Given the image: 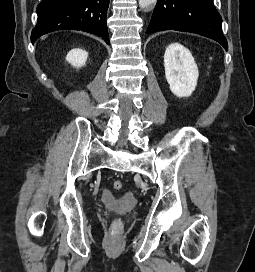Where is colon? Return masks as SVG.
<instances>
[{
    "instance_id": "5ec220e1",
    "label": "colon",
    "mask_w": 255,
    "mask_h": 272,
    "mask_svg": "<svg viewBox=\"0 0 255 272\" xmlns=\"http://www.w3.org/2000/svg\"><path fill=\"white\" fill-rule=\"evenodd\" d=\"M122 187H123L122 181L115 180L113 182V188L115 190H120ZM121 225H122V223H121V221L119 219H114L113 222H112V228H113L114 231L119 230L121 228Z\"/></svg>"
}]
</instances>
